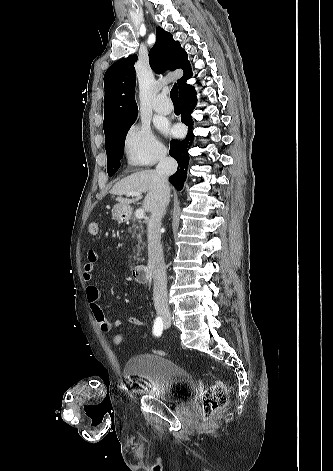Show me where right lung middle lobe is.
<instances>
[{
  "label": "right lung middle lobe",
  "mask_w": 333,
  "mask_h": 471,
  "mask_svg": "<svg viewBox=\"0 0 333 471\" xmlns=\"http://www.w3.org/2000/svg\"><path fill=\"white\" fill-rule=\"evenodd\" d=\"M136 117L118 123L104 132L109 176L114 175L120 167V159L124 153L125 137Z\"/></svg>",
  "instance_id": "obj_1"
}]
</instances>
